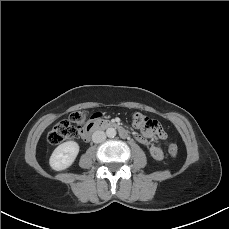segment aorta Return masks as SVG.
<instances>
[{"instance_id":"aorta-1","label":"aorta","mask_w":229,"mask_h":229,"mask_svg":"<svg viewBox=\"0 0 229 229\" xmlns=\"http://www.w3.org/2000/svg\"><path fill=\"white\" fill-rule=\"evenodd\" d=\"M116 130H115V128H108L107 130H106V135L109 137V138H114L115 136H116Z\"/></svg>"}]
</instances>
